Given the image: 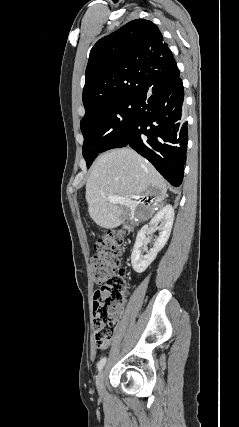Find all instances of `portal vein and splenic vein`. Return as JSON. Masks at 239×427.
Masks as SVG:
<instances>
[{
	"label": "portal vein and splenic vein",
	"instance_id": "portal-vein-and-splenic-vein-1",
	"mask_svg": "<svg viewBox=\"0 0 239 427\" xmlns=\"http://www.w3.org/2000/svg\"><path fill=\"white\" fill-rule=\"evenodd\" d=\"M132 197H121L118 195H108L107 199L110 203L113 204H129L131 202H133L131 200Z\"/></svg>",
	"mask_w": 239,
	"mask_h": 427
}]
</instances>
